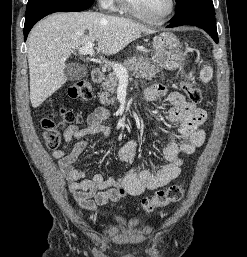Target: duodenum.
I'll use <instances>...</instances> for the list:
<instances>
[{"label":"duodenum","mask_w":247,"mask_h":257,"mask_svg":"<svg viewBox=\"0 0 247 257\" xmlns=\"http://www.w3.org/2000/svg\"><path fill=\"white\" fill-rule=\"evenodd\" d=\"M91 79L94 83H99L103 79V73L99 68H94L91 71Z\"/></svg>","instance_id":"obj_1"}]
</instances>
